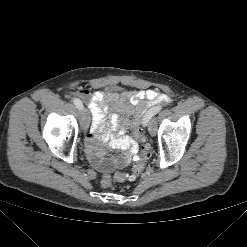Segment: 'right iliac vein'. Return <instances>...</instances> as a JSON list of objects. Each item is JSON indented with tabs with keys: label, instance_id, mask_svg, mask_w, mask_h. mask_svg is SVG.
I'll list each match as a JSON object with an SVG mask.
<instances>
[{
	"label": "right iliac vein",
	"instance_id": "obj_1",
	"mask_svg": "<svg viewBox=\"0 0 247 247\" xmlns=\"http://www.w3.org/2000/svg\"><path fill=\"white\" fill-rule=\"evenodd\" d=\"M80 117H81V127L84 131H86L90 123V117L88 111L86 109H82L80 112Z\"/></svg>",
	"mask_w": 247,
	"mask_h": 247
}]
</instances>
